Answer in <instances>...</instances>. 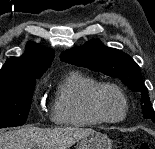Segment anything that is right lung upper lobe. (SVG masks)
Segmentation results:
<instances>
[{"label":"right lung upper lobe","mask_w":155,"mask_h":149,"mask_svg":"<svg viewBox=\"0 0 155 149\" xmlns=\"http://www.w3.org/2000/svg\"><path fill=\"white\" fill-rule=\"evenodd\" d=\"M54 58L53 50L35 43H28L21 57H10L0 70L1 79L41 77L50 67Z\"/></svg>","instance_id":"1"}]
</instances>
